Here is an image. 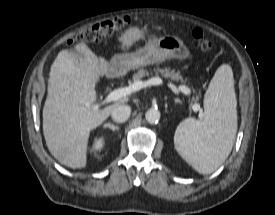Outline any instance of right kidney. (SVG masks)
<instances>
[{"instance_id":"obj_1","label":"right kidney","mask_w":275,"mask_h":215,"mask_svg":"<svg viewBox=\"0 0 275 215\" xmlns=\"http://www.w3.org/2000/svg\"><path fill=\"white\" fill-rule=\"evenodd\" d=\"M105 139L103 137L96 139L93 143V151H100L104 146Z\"/></svg>"}]
</instances>
